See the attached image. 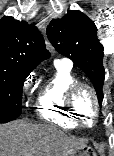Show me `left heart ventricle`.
<instances>
[{"instance_id":"obj_1","label":"left heart ventricle","mask_w":114,"mask_h":156,"mask_svg":"<svg viewBox=\"0 0 114 156\" xmlns=\"http://www.w3.org/2000/svg\"><path fill=\"white\" fill-rule=\"evenodd\" d=\"M76 106L82 114L83 120L90 124L93 118L94 103L91 95L87 91L79 93L76 99Z\"/></svg>"}]
</instances>
